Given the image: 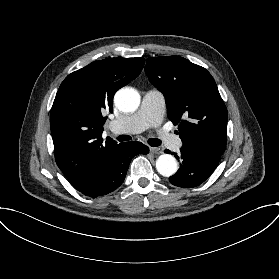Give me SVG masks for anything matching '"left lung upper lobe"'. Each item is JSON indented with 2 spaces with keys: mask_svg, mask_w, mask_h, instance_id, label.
<instances>
[{
  "mask_svg": "<svg viewBox=\"0 0 279 279\" xmlns=\"http://www.w3.org/2000/svg\"><path fill=\"white\" fill-rule=\"evenodd\" d=\"M145 72L165 96L168 118L179 125L182 147L221 156L226 149L228 114L211 74L180 56L148 58Z\"/></svg>",
  "mask_w": 279,
  "mask_h": 279,
  "instance_id": "1",
  "label": "left lung upper lobe"
}]
</instances>
